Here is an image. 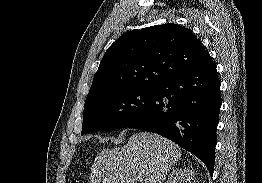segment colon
Listing matches in <instances>:
<instances>
[{
    "label": "colon",
    "instance_id": "5ec220e1",
    "mask_svg": "<svg viewBox=\"0 0 262 183\" xmlns=\"http://www.w3.org/2000/svg\"><path fill=\"white\" fill-rule=\"evenodd\" d=\"M73 183H79L78 181H74Z\"/></svg>",
    "mask_w": 262,
    "mask_h": 183
}]
</instances>
